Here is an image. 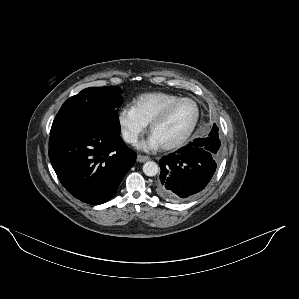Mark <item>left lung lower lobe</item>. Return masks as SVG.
Segmentation results:
<instances>
[{
	"instance_id": "obj_1",
	"label": "left lung lower lobe",
	"mask_w": 299,
	"mask_h": 299,
	"mask_svg": "<svg viewBox=\"0 0 299 299\" xmlns=\"http://www.w3.org/2000/svg\"><path fill=\"white\" fill-rule=\"evenodd\" d=\"M209 137L197 138L159 161L158 195L171 202H184L199 194L212 179L219 152Z\"/></svg>"
}]
</instances>
